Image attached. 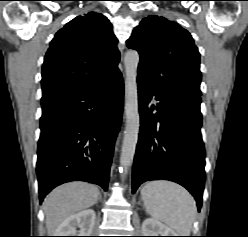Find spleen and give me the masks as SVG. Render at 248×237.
<instances>
[{
	"instance_id": "3e777b00",
	"label": "spleen",
	"mask_w": 248,
	"mask_h": 237,
	"mask_svg": "<svg viewBox=\"0 0 248 237\" xmlns=\"http://www.w3.org/2000/svg\"><path fill=\"white\" fill-rule=\"evenodd\" d=\"M146 212L165 223L180 236H189L196 215V203L178 184L165 180L150 181L141 190Z\"/></svg>"
}]
</instances>
